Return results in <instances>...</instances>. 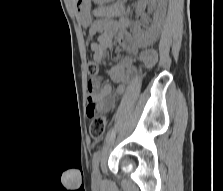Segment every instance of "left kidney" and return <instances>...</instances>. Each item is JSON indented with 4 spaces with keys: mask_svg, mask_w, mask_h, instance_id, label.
Instances as JSON below:
<instances>
[{
    "mask_svg": "<svg viewBox=\"0 0 223 191\" xmlns=\"http://www.w3.org/2000/svg\"><path fill=\"white\" fill-rule=\"evenodd\" d=\"M166 0H140L137 4V11H142L146 7L154 10V19L151 26L143 31L138 25L134 27L135 36L144 44L154 42L161 28L162 20L165 12Z\"/></svg>",
    "mask_w": 223,
    "mask_h": 191,
    "instance_id": "obj_1",
    "label": "left kidney"
}]
</instances>
